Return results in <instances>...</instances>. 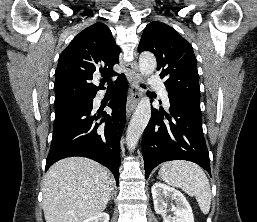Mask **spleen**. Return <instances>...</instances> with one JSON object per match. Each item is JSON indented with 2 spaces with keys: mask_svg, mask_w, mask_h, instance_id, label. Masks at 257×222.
<instances>
[{
  "mask_svg": "<svg viewBox=\"0 0 257 222\" xmlns=\"http://www.w3.org/2000/svg\"><path fill=\"white\" fill-rule=\"evenodd\" d=\"M159 176L167 184L195 196L202 213H209L211 188L206 174L198 165L188 161H169L162 165Z\"/></svg>",
  "mask_w": 257,
  "mask_h": 222,
  "instance_id": "spleen-1",
  "label": "spleen"
}]
</instances>
